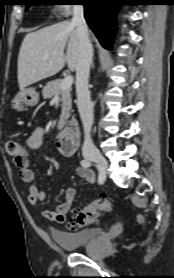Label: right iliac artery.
<instances>
[{
    "label": "right iliac artery",
    "mask_w": 174,
    "mask_h": 278,
    "mask_svg": "<svg viewBox=\"0 0 174 278\" xmlns=\"http://www.w3.org/2000/svg\"><path fill=\"white\" fill-rule=\"evenodd\" d=\"M80 163H81V165L83 167H90V166H92V163L89 160H86V159L82 160ZM97 167L99 169L98 182L101 184L105 180V172L98 165H97Z\"/></svg>",
    "instance_id": "right-iliac-artery-1"
}]
</instances>
